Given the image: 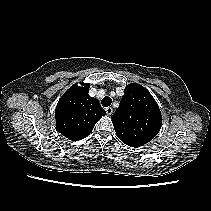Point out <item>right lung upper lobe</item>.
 I'll return each instance as SVG.
<instances>
[{"instance_id":"cb5924a9","label":"right lung upper lobe","mask_w":211,"mask_h":211,"mask_svg":"<svg viewBox=\"0 0 211 211\" xmlns=\"http://www.w3.org/2000/svg\"><path fill=\"white\" fill-rule=\"evenodd\" d=\"M74 84L60 98L55 109L56 129L69 140L88 136L95 123L106 114L96 98L89 96V84Z\"/></svg>"}]
</instances>
